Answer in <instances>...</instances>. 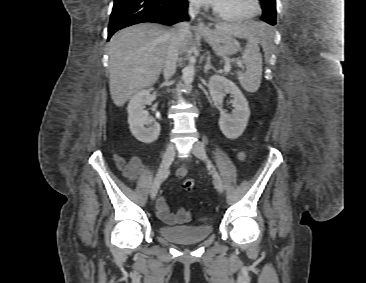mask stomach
<instances>
[{
	"mask_svg": "<svg viewBox=\"0 0 366 283\" xmlns=\"http://www.w3.org/2000/svg\"><path fill=\"white\" fill-rule=\"evenodd\" d=\"M199 34L211 46L215 54L220 57L235 54L240 50L238 41L232 35L222 30L208 29L207 31L199 32Z\"/></svg>",
	"mask_w": 366,
	"mask_h": 283,
	"instance_id": "1",
	"label": "stomach"
}]
</instances>
